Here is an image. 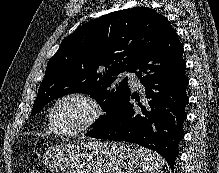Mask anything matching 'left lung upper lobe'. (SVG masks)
<instances>
[{"mask_svg": "<svg viewBox=\"0 0 219 173\" xmlns=\"http://www.w3.org/2000/svg\"><path fill=\"white\" fill-rule=\"evenodd\" d=\"M173 31L164 16L146 7L120 10L86 23L67 36L49 60L31 115L60 96L88 93L106 112L91 131L98 129L130 93L127 78L117 84L115 77L132 72L140 57Z\"/></svg>", "mask_w": 219, "mask_h": 173, "instance_id": "1", "label": "left lung upper lobe"}]
</instances>
